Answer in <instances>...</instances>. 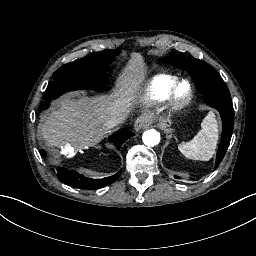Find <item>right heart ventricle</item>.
I'll return each mask as SVG.
<instances>
[{"label":"right heart ventricle","instance_id":"e07e8e85","mask_svg":"<svg viewBox=\"0 0 256 256\" xmlns=\"http://www.w3.org/2000/svg\"><path fill=\"white\" fill-rule=\"evenodd\" d=\"M178 77L172 74L159 73L153 76L143 87V100L153 104L164 103Z\"/></svg>","mask_w":256,"mask_h":256}]
</instances>
